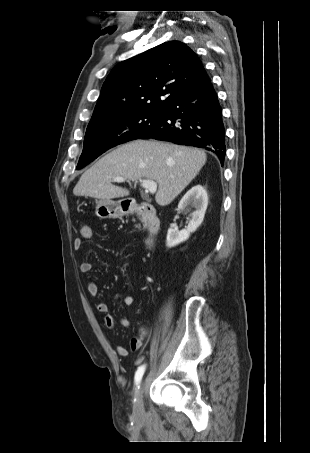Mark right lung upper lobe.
<instances>
[{
    "label": "right lung upper lobe",
    "mask_w": 310,
    "mask_h": 453,
    "mask_svg": "<svg viewBox=\"0 0 310 453\" xmlns=\"http://www.w3.org/2000/svg\"><path fill=\"white\" fill-rule=\"evenodd\" d=\"M205 73L197 54L169 41L117 64L106 78L91 122L133 111H158Z\"/></svg>",
    "instance_id": "1"
}]
</instances>
